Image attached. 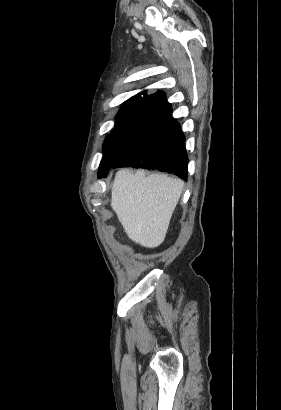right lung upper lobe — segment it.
<instances>
[{"mask_svg":"<svg viewBox=\"0 0 281 410\" xmlns=\"http://www.w3.org/2000/svg\"><path fill=\"white\" fill-rule=\"evenodd\" d=\"M128 105L149 106L171 112V105L165 99V94L162 91H158L152 95H147L146 91H143L141 94L139 93L131 97L122 104V106Z\"/></svg>","mask_w":281,"mask_h":410,"instance_id":"cb5924a9","label":"right lung upper lobe"}]
</instances>
